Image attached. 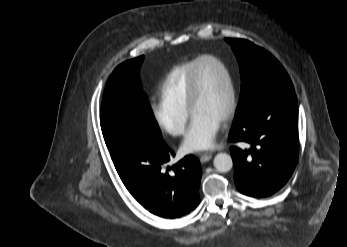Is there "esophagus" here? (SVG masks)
Segmentation results:
<instances>
[{"mask_svg": "<svg viewBox=\"0 0 347 247\" xmlns=\"http://www.w3.org/2000/svg\"><path fill=\"white\" fill-rule=\"evenodd\" d=\"M199 157H200V161L202 163H205L212 158V153L211 152H203V153L199 154Z\"/></svg>", "mask_w": 347, "mask_h": 247, "instance_id": "obj_1", "label": "esophagus"}]
</instances>
